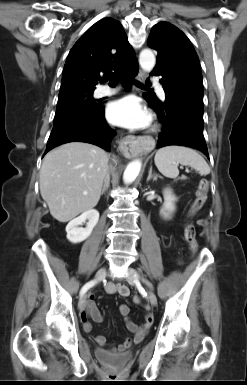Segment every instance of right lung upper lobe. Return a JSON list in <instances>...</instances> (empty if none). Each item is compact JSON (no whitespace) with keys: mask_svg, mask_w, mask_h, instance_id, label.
I'll return each mask as SVG.
<instances>
[{"mask_svg":"<svg viewBox=\"0 0 247 385\" xmlns=\"http://www.w3.org/2000/svg\"><path fill=\"white\" fill-rule=\"evenodd\" d=\"M138 65L122 25L105 18L90 27L67 57L61 90L95 89L112 74L123 75Z\"/></svg>","mask_w":247,"mask_h":385,"instance_id":"1","label":"right lung upper lobe"}]
</instances>
